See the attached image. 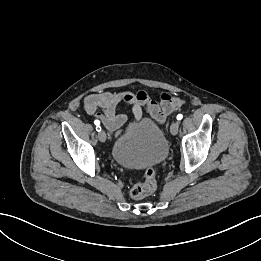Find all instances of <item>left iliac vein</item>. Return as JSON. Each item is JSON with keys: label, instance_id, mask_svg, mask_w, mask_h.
Masks as SVG:
<instances>
[{"label": "left iliac vein", "instance_id": "4c4485c4", "mask_svg": "<svg viewBox=\"0 0 261 261\" xmlns=\"http://www.w3.org/2000/svg\"><path fill=\"white\" fill-rule=\"evenodd\" d=\"M178 129H179V122L176 121L171 124L170 132L172 135H176L178 133Z\"/></svg>", "mask_w": 261, "mask_h": 261}]
</instances>
